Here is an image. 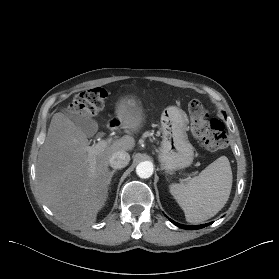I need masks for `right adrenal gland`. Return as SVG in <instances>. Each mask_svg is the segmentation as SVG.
<instances>
[{
  "label": "right adrenal gland",
  "mask_w": 279,
  "mask_h": 279,
  "mask_svg": "<svg viewBox=\"0 0 279 279\" xmlns=\"http://www.w3.org/2000/svg\"><path fill=\"white\" fill-rule=\"evenodd\" d=\"M116 171H117L116 169H114V170L111 171V173H110V178H109L110 181H111V179H112V177H113V175H114V173H115Z\"/></svg>",
  "instance_id": "right-adrenal-gland-1"
}]
</instances>
